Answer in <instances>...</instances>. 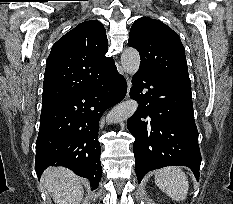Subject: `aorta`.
<instances>
[{
  "label": "aorta",
  "instance_id": "1",
  "mask_svg": "<svg viewBox=\"0 0 233 204\" xmlns=\"http://www.w3.org/2000/svg\"><path fill=\"white\" fill-rule=\"evenodd\" d=\"M121 64L125 72L134 75L140 66V55L134 48H126L121 54ZM138 103L135 100H127L113 108L107 115L108 123H118L127 120L137 110Z\"/></svg>",
  "mask_w": 233,
  "mask_h": 204
}]
</instances>
